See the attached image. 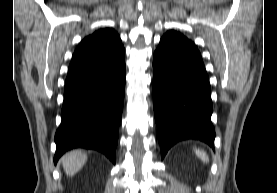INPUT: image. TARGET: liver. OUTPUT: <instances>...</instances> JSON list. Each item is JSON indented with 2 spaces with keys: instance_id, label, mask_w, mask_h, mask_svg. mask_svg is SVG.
<instances>
[{
  "instance_id": "liver-1",
  "label": "liver",
  "mask_w": 277,
  "mask_h": 193,
  "mask_svg": "<svg viewBox=\"0 0 277 193\" xmlns=\"http://www.w3.org/2000/svg\"><path fill=\"white\" fill-rule=\"evenodd\" d=\"M61 161L66 174L73 176L84 166L87 155L80 150H74L65 154Z\"/></svg>"
}]
</instances>
